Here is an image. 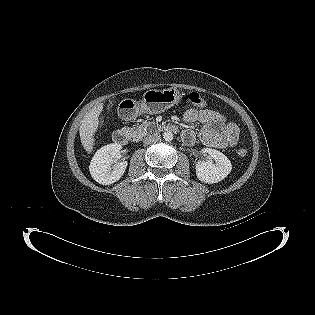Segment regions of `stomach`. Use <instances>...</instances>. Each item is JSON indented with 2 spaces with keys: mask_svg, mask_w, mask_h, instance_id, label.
<instances>
[{
  "mask_svg": "<svg viewBox=\"0 0 315 315\" xmlns=\"http://www.w3.org/2000/svg\"><path fill=\"white\" fill-rule=\"evenodd\" d=\"M181 99V93L175 88L150 90L142 102L135 99L123 100L117 109L118 117L125 122L141 120L145 113H161L174 106Z\"/></svg>",
  "mask_w": 315,
  "mask_h": 315,
  "instance_id": "1",
  "label": "stomach"
}]
</instances>
